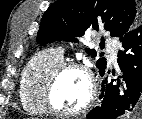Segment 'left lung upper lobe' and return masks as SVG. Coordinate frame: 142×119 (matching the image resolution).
<instances>
[{
	"instance_id": "1",
	"label": "left lung upper lobe",
	"mask_w": 142,
	"mask_h": 119,
	"mask_svg": "<svg viewBox=\"0 0 142 119\" xmlns=\"http://www.w3.org/2000/svg\"><path fill=\"white\" fill-rule=\"evenodd\" d=\"M141 23V9L136 0H58L45 11L37 40L41 44L60 40L77 42L75 37L83 36L89 27L104 28L120 39ZM86 52L96 56L94 49ZM106 65L105 58L97 60L99 73Z\"/></svg>"
}]
</instances>
